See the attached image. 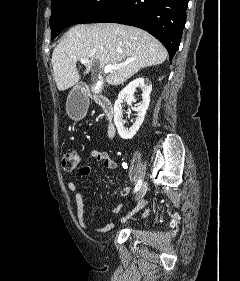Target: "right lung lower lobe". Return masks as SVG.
I'll return each instance as SVG.
<instances>
[{"instance_id": "right-lung-lower-lobe-1", "label": "right lung lower lobe", "mask_w": 240, "mask_h": 281, "mask_svg": "<svg viewBox=\"0 0 240 281\" xmlns=\"http://www.w3.org/2000/svg\"><path fill=\"white\" fill-rule=\"evenodd\" d=\"M187 5L188 0H118L92 23L112 22L144 29L166 47L171 60L180 44Z\"/></svg>"}]
</instances>
